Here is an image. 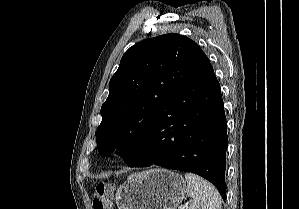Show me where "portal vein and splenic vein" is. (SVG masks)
<instances>
[{"mask_svg":"<svg viewBox=\"0 0 299 209\" xmlns=\"http://www.w3.org/2000/svg\"><path fill=\"white\" fill-rule=\"evenodd\" d=\"M189 202H187L184 206L180 207V209H187Z\"/></svg>","mask_w":299,"mask_h":209,"instance_id":"obj_1","label":"portal vein and splenic vein"}]
</instances>
